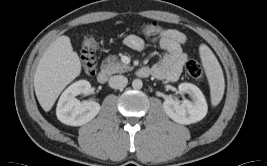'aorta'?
I'll return each mask as SVG.
<instances>
[{
	"instance_id": "1",
	"label": "aorta",
	"mask_w": 267,
	"mask_h": 166,
	"mask_svg": "<svg viewBox=\"0 0 267 166\" xmlns=\"http://www.w3.org/2000/svg\"><path fill=\"white\" fill-rule=\"evenodd\" d=\"M143 86V82L140 79H134L132 82V87L134 89H141Z\"/></svg>"
}]
</instances>
